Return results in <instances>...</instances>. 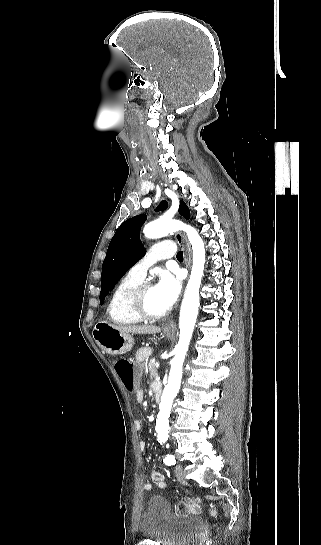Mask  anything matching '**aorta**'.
Masks as SVG:
<instances>
[{
    "label": "aorta",
    "mask_w": 321,
    "mask_h": 545,
    "mask_svg": "<svg viewBox=\"0 0 321 545\" xmlns=\"http://www.w3.org/2000/svg\"><path fill=\"white\" fill-rule=\"evenodd\" d=\"M177 230H183L187 233L188 240L192 245L193 258L191 275L180 310L179 341L174 348L175 356L171 360L168 383L164 388L159 405V413L157 415L156 430L157 438L160 442H166L169 436L171 407L180 387L182 365L198 315L200 305L199 289L205 265V247L204 242L196 229L178 220L160 218L148 223L143 230L144 236L148 239L161 238L172 234Z\"/></svg>",
    "instance_id": "1"
}]
</instances>
